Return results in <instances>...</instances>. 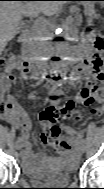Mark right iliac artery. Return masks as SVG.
I'll list each match as a JSON object with an SVG mask.
<instances>
[{
	"label": "right iliac artery",
	"mask_w": 104,
	"mask_h": 189,
	"mask_svg": "<svg viewBox=\"0 0 104 189\" xmlns=\"http://www.w3.org/2000/svg\"><path fill=\"white\" fill-rule=\"evenodd\" d=\"M21 141V137H18V140H17V142H20Z\"/></svg>",
	"instance_id": "1"
}]
</instances>
